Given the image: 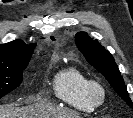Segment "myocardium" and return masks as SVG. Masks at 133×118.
I'll return each mask as SVG.
<instances>
[{
	"instance_id": "1",
	"label": "myocardium",
	"mask_w": 133,
	"mask_h": 118,
	"mask_svg": "<svg viewBox=\"0 0 133 118\" xmlns=\"http://www.w3.org/2000/svg\"><path fill=\"white\" fill-rule=\"evenodd\" d=\"M87 95L90 102L95 106H101L107 99V91L105 87L96 80H89L87 84Z\"/></svg>"
}]
</instances>
